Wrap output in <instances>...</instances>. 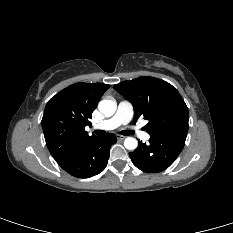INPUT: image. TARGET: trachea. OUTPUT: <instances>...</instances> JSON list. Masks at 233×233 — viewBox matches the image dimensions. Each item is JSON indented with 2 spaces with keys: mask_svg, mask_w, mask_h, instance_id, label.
I'll return each mask as SVG.
<instances>
[{
  "mask_svg": "<svg viewBox=\"0 0 233 233\" xmlns=\"http://www.w3.org/2000/svg\"><path fill=\"white\" fill-rule=\"evenodd\" d=\"M94 132L96 135H104L105 134V131H103V130H95ZM121 134L122 135H132L133 132L129 131V130H124V131H121Z\"/></svg>",
  "mask_w": 233,
  "mask_h": 233,
  "instance_id": "obj_1",
  "label": "trachea"
}]
</instances>
